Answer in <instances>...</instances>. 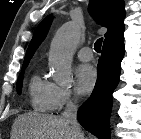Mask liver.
Returning a JSON list of instances; mask_svg holds the SVG:
<instances>
[{
    "label": "liver",
    "mask_w": 141,
    "mask_h": 139,
    "mask_svg": "<svg viewBox=\"0 0 141 139\" xmlns=\"http://www.w3.org/2000/svg\"><path fill=\"white\" fill-rule=\"evenodd\" d=\"M82 139L84 134L82 133ZM11 139H76L70 123L61 116L42 113L19 115L13 123Z\"/></svg>",
    "instance_id": "6515ba94"
}]
</instances>
